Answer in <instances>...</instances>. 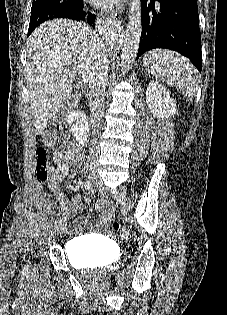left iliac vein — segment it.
<instances>
[{
  "mask_svg": "<svg viewBox=\"0 0 227 315\" xmlns=\"http://www.w3.org/2000/svg\"><path fill=\"white\" fill-rule=\"evenodd\" d=\"M98 185H102L103 182L101 180H98ZM117 201L120 203V205L126 209V210H130L132 205H131V201L129 199V197L126 195V193L122 192L120 194L115 195Z\"/></svg>",
  "mask_w": 227,
  "mask_h": 315,
  "instance_id": "1",
  "label": "left iliac vein"
}]
</instances>
